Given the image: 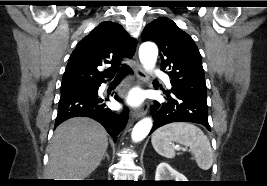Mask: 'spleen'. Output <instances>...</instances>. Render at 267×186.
I'll return each instance as SVG.
<instances>
[{
	"instance_id": "spleen-1",
	"label": "spleen",
	"mask_w": 267,
	"mask_h": 186,
	"mask_svg": "<svg viewBox=\"0 0 267 186\" xmlns=\"http://www.w3.org/2000/svg\"><path fill=\"white\" fill-rule=\"evenodd\" d=\"M173 142L190 147L197 165L208 170L213 163V151L208 137L197 126L186 122H175L157 129L151 138L155 151L166 158H174Z\"/></svg>"
}]
</instances>
